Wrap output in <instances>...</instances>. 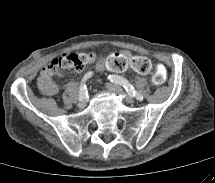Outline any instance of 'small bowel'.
<instances>
[{"instance_id": "1", "label": "small bowel", "mask_w": 215, "mask_h": 183, "mask_svg": "<svg viewBox=\"0 0 215 183\" xmlns=\"http://www.w3.org/2000/svg\"><path fill=\"white\" fill-rule=\"evenodd\" d=\"M120 53V54H119ZM117 52H108L103 58H100L96 64L98 70L107 69L113 72H123L129 66L130 52L121 50ZM94 60V54H91ZM130 69L137 76H146L152 70V61L145 54H136L130 60ZM82 70V69H80ZM56 74L52 67V63L42 69L37 79V87L39 91L46 96H53L58 92V87L52 81V77Z\"/></svg>"}]
</instances>
